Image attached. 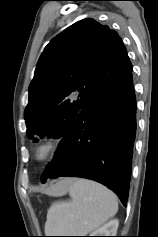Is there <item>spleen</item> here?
I'll return each mask as SVG.
<instances>
[{
	"mask_svg": "<svg viewBox=\"0 0 158 237\" xmlns=\"http://www.w3.org/2000/svg\"><path fill=\"white\" fill-rule=\"evenodd\" d=\"M69 201L54 202L47 213L46 236H86L113 217L118 210L116 195L87 179H74Z\"/></svg>",
	"mask_w": 158,
	"mask_h": 237,
	"instance_id": "spleen-1",
	"label": "spleen"
}]
</instances>
